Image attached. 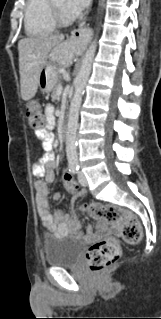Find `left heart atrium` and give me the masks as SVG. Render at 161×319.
<instances>
[{
	"mask_svg": "<svg viewBox=\"0 0 161 319\" xmlns=\"http://www.w3.org/2000/svg\"><path fill=\"white\" fill-rule=\"evenodd\" d=\"M90 0H66V8L73 15H79L88 5Z\"/></svg>",
	"mask_w": 161,
	"mask_h": 319,
	"instance_id": "left-heart-atrium-1",
	"label": "left heart atrium"
}]
</instances>
